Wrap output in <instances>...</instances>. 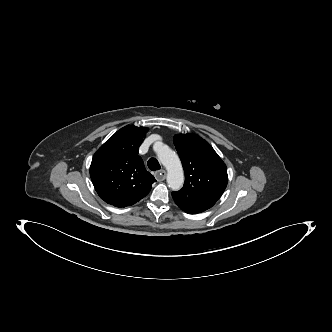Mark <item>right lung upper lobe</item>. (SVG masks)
I'll list each match as a JSON object with an SVG mask.
<instances>
[{
	"instance_id": "right-lung-upper-lobe-1",
	"label": "right lung upper lobe",
	"mask_w": 332,
	"mask_h": 332,
	"mask_svg": "<svg viewBox=\"0 0 332 332\" xmlns=\"http://www.w3.org/2000/svg\"><path fill=\"white\" fill-rule=\"evenodd\" d=\"M147 132L144 127L125 126L95 152L90 176L96 192L106 203L127 207L150 192L156 180L138 156Z\"/></svg>"
}]
</instances>
